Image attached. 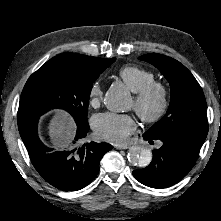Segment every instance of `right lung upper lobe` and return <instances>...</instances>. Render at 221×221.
Wrapping results in <instances>:
<instances>
[{
  "label": "right lung upper lobe",
  "instance_id": "cb5924a9",
  "mask_svg": "<svg viewBox=\"0 0 221 221\" xmlns=\"http://www.w3.org/2000/svg\"><path fill=\"white\" fill-rule=\"evenodd\" d=\"M97 60L96 57L67 52L59 54L47 62L55 63L65 71L83 73L88 71Z\"/></svg>",
  "mask_w": 221,
  "mask_h": 221
}]
</instances>
